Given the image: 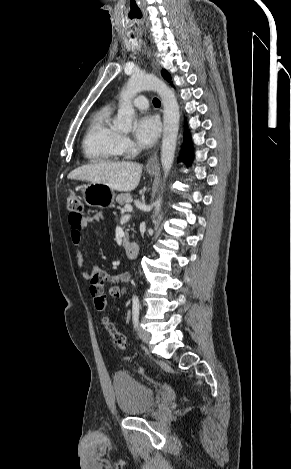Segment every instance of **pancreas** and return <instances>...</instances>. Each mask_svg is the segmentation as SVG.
<instances>
[{
	"instance_id": "cf45deb5",
	"label": "pancreas",
	"mask_w": 291,
	"mask_h": 469,
	"mask_svg": "<svg viewBox=\"0 0 291 469\" xmlns=\"http://www.w3.org/2000/svg\"><path fill=\"white\" fill-rule=\"evenodd\" d=\"M131 199H132V195L130 193H121L116 197V202L122 206L125 203H129ZM126 240L127 238L124 239V241Z\"/></svg>"
}]
</instances>
